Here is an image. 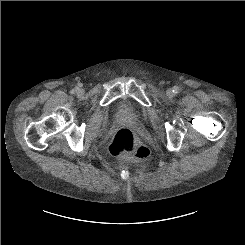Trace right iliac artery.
I'll return each instance as SVG.
<instances>
[{"mask_svg":"<svg viewBox=\"0 0 245 245\" xmlns=\"http://www.w3.org/2000/svg\"><path fill=\"white\" fill-rule=\"evenodd\" d=\"M77 90H78V88H74L71 90V93L74 94Z\"/></svg>","mask_w":245,"mask_h":245,"instance_id":"1","label":"right iliac artery"}]
</instances>
